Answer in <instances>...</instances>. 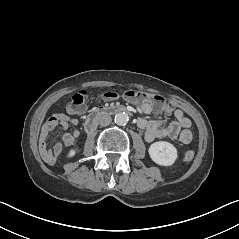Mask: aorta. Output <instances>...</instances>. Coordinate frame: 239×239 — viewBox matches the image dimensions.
<instances>
[{
  "label": "aorta",
  "mask_w": 239,
  "mask_h": 239,
  "mask_svg": "<svg viewBox=\"0 0 239 239\" xmlns=\"http://www.w3.org/2000/svg\"><path fill=\"white\" fill-rule=\"evenodd\" d=\"M128 120H129L128 114L125 112H119L114 117V122L117 125H121V126L126 125Z\"/></svg>",
  "instance_id": "762f6f07"
}]
</instances>
